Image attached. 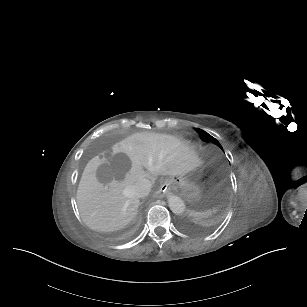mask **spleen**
<instances>
[{
	"label": "spleen",
	"mask_w": 307,
	"mask_h": 307,
	"mask_svg": "<svg viewBox=\"0 0 307 307\" xmlns=\"http://www.w3.org/2000/svg\"><path fill=\"white\" fill-rule=\"evenodd\" d=\"M215 211V210H214ZM187 213L190 215H192L194 218L196 217V218H198V217H200V218H203L204 216H209V215H211L212 214V211L211 210H207L206 212H204V213H197L196 211L194 212L193 210H188L187 211Z\"/></svg>",
	"instance_id": "1"
}]
</instances>
